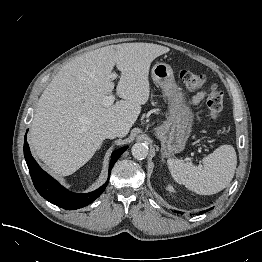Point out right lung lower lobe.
<instances>
[{
	"instance_id": "obj_1",
	"label": "right lung lower lobe",
	"mask_w": 262,
	"mask_h": 262,
	"mask_svg": "<svg viewBox=\"0 0 262 262\" xmlns=\"http://www.w3.org/2000/svg\"><path fill=\"white\" fill-rule=\"evenodd\" d=\"M127 148L128 146H124L113 152L109 165L108 180L106 181V183L97 190L85 194H76L68 191L51 176H49L45 171H43L34 160V158L31 156L29 146L26 142V135L24 141V156L29 168L32 181L39 194L52 204H55L67 210H74L90 204L103 193L108 184L113 165L119 159L121 154L127 150Z\"/></svg>"
}]
</instances>
